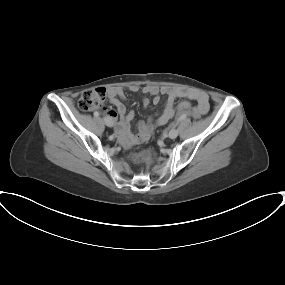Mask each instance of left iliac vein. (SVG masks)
<instances>
[{
    "instance_id": "obj_1",
    "label": "left iliac vein",
    "mask_w": 285,
    "mask_h": 285,
    "mask_svg": "<svg viewBox=\"0 0 285 285\" xmlns=\"http://www.w3.org/2000/svg\"><path fill=\"white\" fill-rule=\"evenodd\" d=\"M168 136H169L171 139H175V138L178 136V130L175 129V128H172V129L169 131Z\"/></svg>"
}]
</instances>
